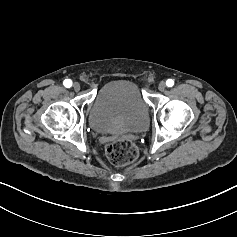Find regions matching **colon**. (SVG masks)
I'll list each match as a JSON object with an SVG mask.
<instances>
[{
	"label": "colon",
	"mask_w": 237,
	"mask_h": 237,
	"mask_svg": "<svg viewBox=\"0 0 237 237\" xmlns=\"http://www.w3.org/2000/svg\"><path fill=\"white\" fill-rule=\"evenodd\" d=\"M105 151L113 164L121 166L134 163L139 155L137 146L130 139H118L109 142Z\"/></svg>",
	"instance_id": "5ec220e1"
}]
</instances>
